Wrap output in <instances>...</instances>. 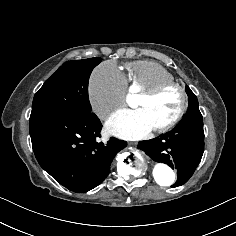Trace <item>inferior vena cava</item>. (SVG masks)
<instances>
[{
    "label": "inferior vena cava",
    "mask_w": 236,
    "mask_h": 236,
    "mask_svg": "<svg viewBox=\"0 0 236 236\" xmlns=\"http://www.w3.org/2000/svg\"><path fill=\"white\" fill-rule=\"evenodd\" d=\"M110 113V107L105 106L101 111L98 112V115L102 118H106V116Z\"/></svg>",
    "instance_id": "inferior-vena-cava-1"
}]
</instances>
